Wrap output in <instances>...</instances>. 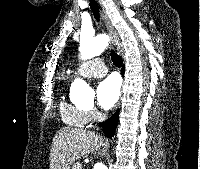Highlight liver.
Masks as SVG:
<instances>
[{"label":"liver","instance_id":"6515ba94","mask_svg":"<svg viewBox=\"0 0 200 169\" xmlns=\"http://www.w3.org/2000/svg\"><path fill=\"white\" fill-rule=\"evenodd\" d=\"M104 139L93 131L64 127L54 136L50 149V169H70L84 155L100 149Z\"/></svg>","mask_w":200,"mask_h":169}]
</instances>
